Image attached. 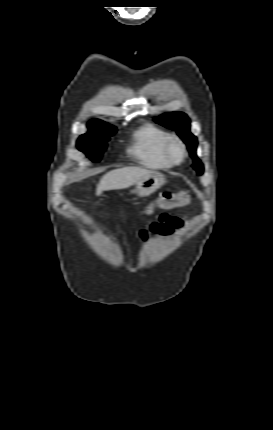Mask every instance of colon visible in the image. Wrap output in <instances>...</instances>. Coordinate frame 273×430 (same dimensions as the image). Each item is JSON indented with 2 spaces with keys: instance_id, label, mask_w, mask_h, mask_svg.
Segmentation results:
<instances>
[{
  "instance_id": "colon-1",
  "label": "colon",
  "mask_w": 273,
  "mask_h": 430,
  "mask_svg": "<svg viewBox=\"0 0 273 430\" xmlns=\"http://www.w3.org/2000/svg\"><path fill=\"white\" fill-rule=\"evenodd\" d=\"M190 197L186 192L173 193L164 191L154 201L148 204L145 208V213L151 214L155 208L172 209L188 205ZM179 220V219H178Z\"/></svg>"
}]
</instances>
